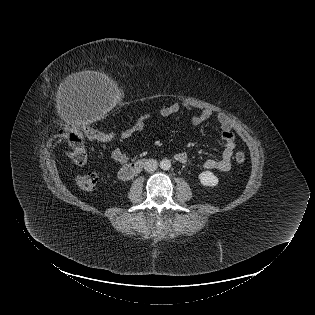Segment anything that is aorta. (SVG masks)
Wrapping results in <instances>:
<instances>
[{
	"label": "aorta",
	"mask_w": 315,
	"mask_h": 315,
	"mask_svg": "<svg viewBox=\"0 0 315 315\" xmlns=\"http://www.w3.org/2000/svg\"><path fill=\"white\" fill-rule=\"evenodd\" d=\"M160 168L163 170H169L171 168V161L169 159H162L160 161Z\"/></svg>",
	"instance_id": "1"
}]
</instances>
